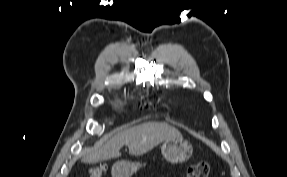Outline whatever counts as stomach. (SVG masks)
Instances as JSON below:
<instances>
[{
	"label": "stomach",
	"instance_id": "stomach-1",
	"mask_svg": "<svg viewBox=\"0 0 287 177\" xmlns=\"http://www.w3.org/2000/svg\"><path fill=\"white\" fill-rule=\"evenodd\" d=\"M163 157L171 163L187 161L193 153L192 145L183 138L165 140L161 147ZM141 164L138 162L118 161L112 166L113 177H131Z\"/></svg>",
	"mask_w": 287,
	"mask_h": 177
}]
</instances>
